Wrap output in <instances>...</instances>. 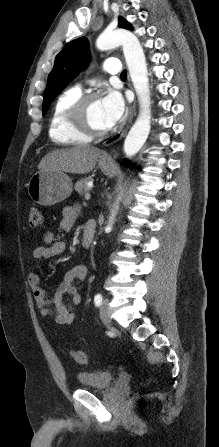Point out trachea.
<instances>
[{"label":"trachea","mask_w":219,"mask_h":447,"mask_svg":"<svg viewBox=\"0 0 219 447\" xmlns=\"http://www.w3.org/2000/svg\"><path fill=\"white\" fill-rule=\"evenodd\" d=\"M120 77H121V78H126V77H127V71H126V70H123L122 73H121V75H120Z\"/></svg>","instance_id":"1"}]
</instances>
